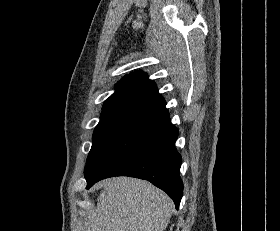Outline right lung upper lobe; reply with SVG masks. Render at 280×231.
Masks as SVG:
<instances>
[{
	"label": "right lung upper lobe",
	"mask_w": 280,
	"mask_h": 231,
	"mask_svg": "<svg viewBox=\"0 0 280 231\" xmlns=\"http://www.w3.org/2000/svg\"><path fill=\"white\" fill-rule=\"evenodd\" d=\"M115 89L103 105L101 120H124L137 125L168 112L156 84L144 72L125 76Z\"/></svg>",
	"instance_id": "obj_1"
}]
</instances>
